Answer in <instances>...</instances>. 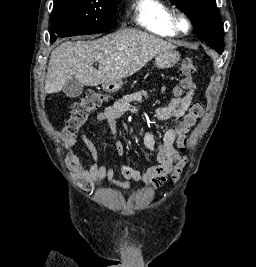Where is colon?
<instances>
[{
  "label": "colon",
  "mask_w": 256,
  "mask_h": 267,
  "mask_svg": "<svg viewBox=\"0 0 256 267\" xmlns=\"http://www.w3.org/2000/svg\"><path fill=\"white\" fill-rule=\"evenodd\" d=\"M197 72L196 61L192 58H184L180 66V87L177 92L194 90L196 85L193 80ZM107 96L105 93L91 90L82 100L74 104L69 118L63 125V132L67 136H73L85 125L92 113L97 111L105 102ZM205 102L202 99H195L189 107L187 114L180 118L175 125L178 135V147L182 152H186L188 147L187 135L189 131L199 122L205 112ZM184 166L182 159L175 167L174 174L178 177Z\"/></svg>",
  "instance_id": "5ec220e1"
}]
</instances>
